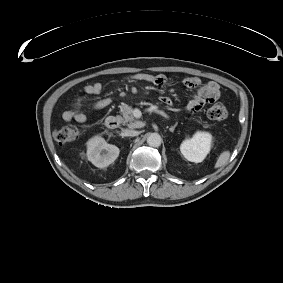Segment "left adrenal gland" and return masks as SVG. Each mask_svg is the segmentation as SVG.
Returning a JSON list of instances; mask_svg holds the SVG:
<instances>
[{
	"label": "left adrenal gland",
	"instance_id": "obj_1",
	"mask_svg": "<svg viewBox=\"0 0 283 283\" xmlns=\"http://www.w3.org/2000/svg\"><path fill=\"white\" fill-rule=\"evenodd\" d=\"M177 125H178V123L176 122V123L174 124V126H171V127L169 128V130H170L171 132H174V130H175V128L177 127Z\"/></svg>",
	"mask_w": 283,
	"mask_h": 283
}]
</instances>
